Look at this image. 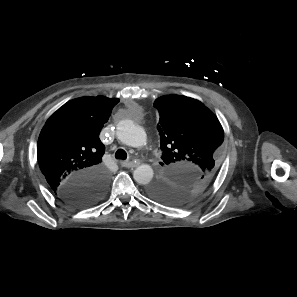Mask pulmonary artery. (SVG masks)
<instances>
[{
	"mask_svg": "<svg viewBox=\"0 0 297 297\" xmlns=\"http://www.w3.org/2000/svg\"><path fill=\"white\" fill-rule=\"evenodd\" d=\"M123 141L128 142L129 140L127 138H122Z\"/></svg>",
	"mask_w": 297,
	"mask_h": 297,
	"instance_id": "e3ab8cb5",
	"label": "pulmonary artery"
}]
</instances>
